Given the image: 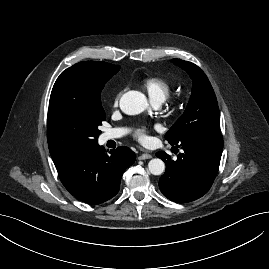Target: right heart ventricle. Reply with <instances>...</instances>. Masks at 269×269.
I'll list each match as a JSON object with an SVG mask.
<instances>
[{
	"instance_id": "obj_1",
	"label": "right heart ventricle",
	"mask_w": 269,
	"mask_h": 269,
	"mask_svg": "<svg viewBox=\"0 0 269 269\" xmlns=\"http://www.w3.org/2000/svg\"><path fill=\"white\" fill-rule=\"evenodd\" d=\"M143 88L153 102H163L171 93V84L160 77H147L143 80Z\"/></svg>"
}]
</instances>
